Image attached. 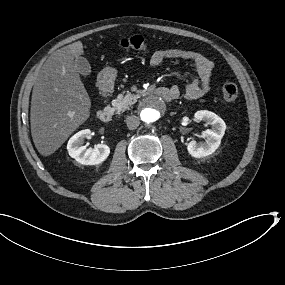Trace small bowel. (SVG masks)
Wrapping results in <instances>:
<instances>
[{
  "instance_id": "small-bowel-1",
  "label": "small bowel",
  "mask_w": 285,
  "mask_h": 285,
  "mask_svg": "<svg viewBox=\"0 0 285 285\" xmlns=\"http://www.w3.org/2000/svg\"><path fill=\"white\" fill-rule=\"evenodd\" d=\"M167 59L188 62L197 73V77L183 87L177 85L171 87L177 97L183 95L188 100H197L210 90L213 63L207 57L199 52L174 48L154 51L149 62L151 66L156 67Z\"/></svg>"
}]
</instances>
